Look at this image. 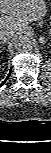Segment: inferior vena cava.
<instances>
[{"instance_id":"602c4592","label":"inferior vena cava","mask_w":51,"mask_h":153,"mask_svg":"<svg viewBox=\"0 0 51 153\" xmlns=\"http://www.w3.org/2000/svg\"><path fill=\"white\" fill-rule=\"evenodd\" d=\"M14 35V31H5L1 30L0 31V40L1 42H6L7 40H10Z\"/></svg>"}]
</instances>
